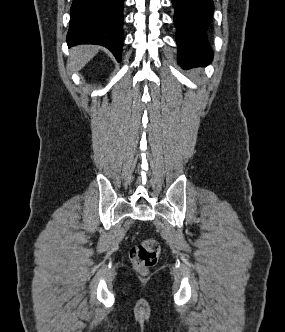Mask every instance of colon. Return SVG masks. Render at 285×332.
Returning <instances> with one entry per match:
<instances>
[{
  "label": "colon",
  "mask_w": 285,
  "mask_h": 332,
  "mask_svg": "<svg viewBox=\"0 0 285 332\" xmlns=\"http://www.w3.org/2000/svg\"><path fill=\"white\" fill-rule=\"evenodd\" d=\"M160 255V245L154 239H146L134 245L130 250V260L134 267L146 271L153 267Z\"/></svg>",
  "instance_id": "5ec220e1"
}]
</instances>
